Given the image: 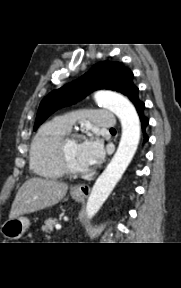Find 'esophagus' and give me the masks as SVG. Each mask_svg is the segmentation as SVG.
Instances as JSON below:
<instances>
[{
  "mask_svg": "<svg viewBox=\"0 0 181 288\" xmlns=\"http://www.w3.org/2000/svg\"><path fill=\"white\" fill-rule=\"evenodd\" d=\"M72 192L79 196L86 197L90 193V187L87 184H78L72 187Z\"/></svg>",
  "mask_w": 181,
  "mask_h": 288,
  "instance_id": "esophagus-1",
  "label": "esophagus"
}]
</instances>
